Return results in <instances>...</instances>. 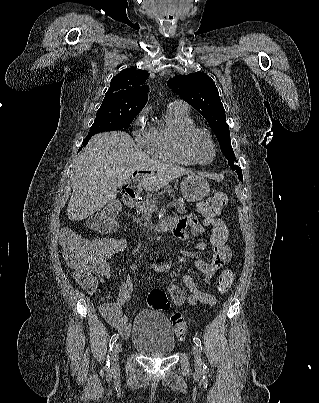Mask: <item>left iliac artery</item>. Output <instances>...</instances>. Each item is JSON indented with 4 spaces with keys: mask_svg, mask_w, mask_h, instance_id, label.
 Returning <instances> with one entry per match:
<instances>
[{
    "mask_svg": "<svg viewBox=\"0 0 319 403\" xmlns=\"http://www.w3.org/2000/svg\"><path fill=\"white\" fill-rule=\"evenodd\" d=\"M193 341H194V343L196 344V346H198L201 350H203V348H202V342H201V340H200L198 337H194V338H193ZM203 368H204V369H207V366H206L205 363H203Z\"/></svg>",
    "mask_w": 319,
    "mask_h": 403,
    "instance_id": "left-iliac-artery-1",
    "label": "left iliac artery"
}]
</instances>
